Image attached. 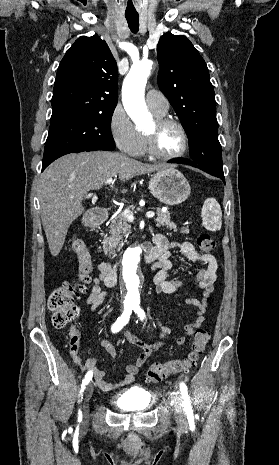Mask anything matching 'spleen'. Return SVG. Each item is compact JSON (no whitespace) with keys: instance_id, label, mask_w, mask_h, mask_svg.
Instances as JSON below:
<instances>
[{"instance_id":"obj_1","label":"spleen","mask_w":279,"mask_h":465,"mask_svg":"<svg viewBox=\"0 0 279 465\" xmlns=\"http://www.w3.org/2000/svg\"><path fill=\"white\" fill-rule=\"evenodd\" d=\"M202 224L210 231H217L221 229L222 225V212L221 207L214 198H208L205 200L202 207Z\"/></svg>"}]
</instances>
